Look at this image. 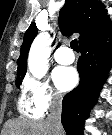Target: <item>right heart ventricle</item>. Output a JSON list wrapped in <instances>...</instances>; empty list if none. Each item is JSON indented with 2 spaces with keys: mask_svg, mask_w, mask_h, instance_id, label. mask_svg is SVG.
<instances>
[{
  "mask_svg": "<svg viewBox=\"0 0 112 135\" xmlns=\"http://www.w3.org/2000/svg\"><path fill=\"white\" fill-rule=\"evenodd\" d=\"M18 109L23 116L28 118L38 119L42 116V114L32 106L30 100L24 93L19 97Z\"/></svg>",
  "mask_w": 112,
  "mask_h": 135,
  "instance_id": "1",
  "label": "right heart ventricle"
}]
</instances>
